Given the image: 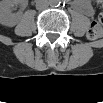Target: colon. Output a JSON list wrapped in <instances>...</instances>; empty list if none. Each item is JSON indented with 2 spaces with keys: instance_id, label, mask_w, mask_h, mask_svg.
Instances as JSON below:
<instances>
[{
  "instance_id": "colon-1",
  "label": "colon",
  "mask_w": 103,
  "mask_h": 103,
  "mask_svg": "<svg viewBox=\"0 0 103 103\" xmlns=\"http://www.w3.org/2000/svg\"><path fill=\"white\" fill-rule=\"evenodd\" d=\"M103 34V15L100 14L96 20H94L87 33V37L90 40L99 39Z\"/></svg>"
}]
</instances>
